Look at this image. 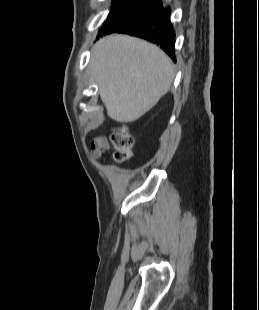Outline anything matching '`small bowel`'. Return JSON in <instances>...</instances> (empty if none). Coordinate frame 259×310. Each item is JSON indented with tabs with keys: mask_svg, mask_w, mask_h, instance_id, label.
<instances>
[{
	"mask_svg": "<svg viewBox=\"0 0 259 310\" xmlns=\"http://www.w3.org/2000/svg\"><path fill=\"white\" fill-rule=\"evenodd\" d=\"M109 149L110 146L104 137H96L91 145V157L93 159H99Z\"/></svg>",
	"mask_w": 259,
	"mask_h": 310,
	"instance_id": "c3829d8e",
	"label": "small bowel"
}]
</instances>
